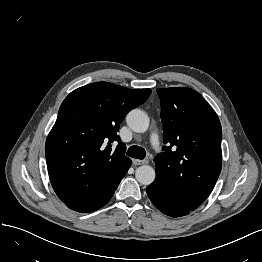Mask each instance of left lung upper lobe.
I'll return each instance as SVG.
<instances>
[{
	"mask_svg": "<svg viewBox=\"0 0 262 262\" xmlns=\"http://www.w3.org/2000/svg\"><path fill=\"white\" fill-rule=\"evenodd\" d=\"M157 93L166 146L154 158V182L177 205L193 211L210 195L221 172V124L193 89L160 88Z\"/></svg>",
	"mask_w": 262,
	"mask_h": 262,
	"instance_id": "left-lung-upper-lobe-1",
	"label": "left lung upper lobe"
}]
</instances>
